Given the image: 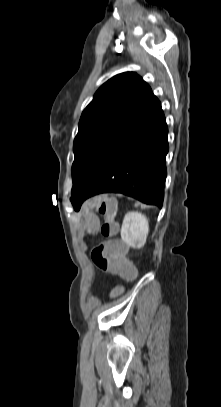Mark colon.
<instances>
[{
    "mask_svg": "<svg viewBox=\"0 0 221 407\" xmlns=\"http://www.w3.org/2000/svg\"><path fill=\"white\" fill-rule=\"evenodd\" d=\"M95 209L103 216L104 222L100 226V232L103 236L111 238L118 234L119 226L115 220L117 214V204L115 200L105 197L96 196L86 204L83 210V216L86 220L87 230L94 234L99 226L96 217L91 210ZM128 250L127 245L120 239H104L103 244L97 246L92 251L94 263L103 271L117 274L118 279H124V282H118L108 291V301H116L121 298L122 294L127 291V284L137 282V265L129 260L125 255Z\"/></svg>",
    "mask_w": 221,
    "mask_h": 407,
    "instance_id": "1",
    "label": "colon"
}]
</instances>
